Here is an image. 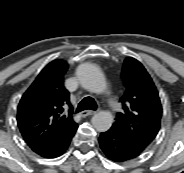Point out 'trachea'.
Wrapping results in <instances>:
<instances>
[{
    "label": "trachea",
    "mask_w": 184,
    "mask_h": 173,
    "mask_svg": "<svg viewBox=\"0 0 184 173\" xmlns=\"http://www.w3.org/2000/svg\"><path fill=\"white\" fill-rule=\"evenodd\" d=\"M96 110L97 109V103L96 101L91 97H85L79 104L76 109V113H79L84 110Z\"/></svg>",
    "instance_id": "1"
}]
</instances>
